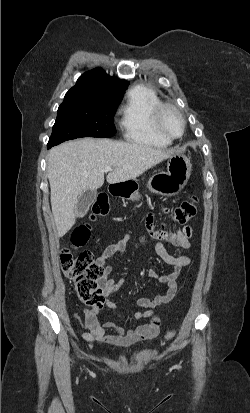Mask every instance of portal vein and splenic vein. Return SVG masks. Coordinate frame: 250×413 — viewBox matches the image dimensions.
Masks as SVG:
<instances>
[{"label":"portal vein and splenic vein","mask_w":250,"mask_h":413,"mask_svg":"<svg viewBox=\"0 0 250 413\" xmlns=\"http://www.w3.org/2000/svg\"><path fill=\"white\" fill-rule=\"evenodd\" d=\"M111 170H112L111 166H106L104 168V172H108V171H111Z\"/></svg>","instance_id":"portal-vein-and-splenic-vein-1"}]
</instances>
